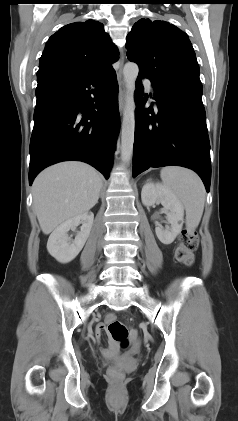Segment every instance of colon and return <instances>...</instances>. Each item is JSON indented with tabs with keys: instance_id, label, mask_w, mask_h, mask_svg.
<instances>
[{
	"instance_id": "colon-1",
	"label": "colon",
	"mask_w": 238,
	"mask_h": 421,
	"mask_svg": "<svg viewBox=\"0 0 238 421\" xmlns=\"http://www.w3.org/2000/svg\"><path fill=\"white\" fill-rule=\"evenodd\" d=\"M199 239L194 230L185 229L179 236V244L175 250V258L178 262L190 266L194 262V253L198 247ZM111 338L117 342L124 350L129 347V331L127 327L114 316H109L105 322ZM110 379L114 383H120L123 378V372L116 366H112L108 371Z\"/></svg>"
}]
</instances>
